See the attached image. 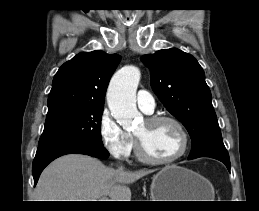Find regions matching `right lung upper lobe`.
Returning <instances> with one entry per match:
<instances>
[{
    "mask_svg": "<svg viewBox=\"0 0 259 211\" xmlns=\"http://www.w3.org/2000/svg\"><path fill=\"white\" fill-rule=\"evenodd\" d=\"M119 61V55L98 50L79 53L64 63L53 79L46 120L78 109L104 107L107 86Z\"/></svg>",
    "mask_w": 259,
    "mask_h": 211,
    "instance_id": "1",
    "label": "right lung upper lobe"
}]
</instances>
